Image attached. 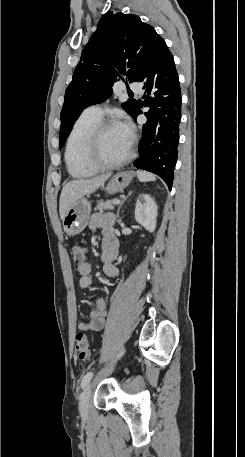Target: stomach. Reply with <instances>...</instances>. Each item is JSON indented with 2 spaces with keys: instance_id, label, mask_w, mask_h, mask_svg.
I'll use <instances>...</instances> for the list:
<instances>
[{
  "instance_id": "obj_1",
  "label": "stomach",
  "mask_w": 245,
  "mask_h": 457,
  "mask_svg": "<svg viewBox=\"0 0 245 457\" xmlns=\"http://www.w3.org/2000/svg\"><path fill=\"white\" fill-rule=\"evenodd\" d=\"M135 172L133 170H123V172H117L112 178H110L106 190L109 194L113 192H121L123 188L128 186L131 182ZM91 212V206L87 198H78L74 204L70 206L63 218V229L66 235H79L84 231L85 226L88 224L89 216Z\"/></svg>"
}]
</instances>
